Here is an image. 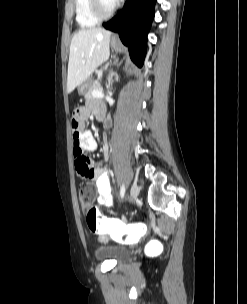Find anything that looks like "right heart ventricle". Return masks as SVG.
<instances>
[{
    "label": "right heart ventricle",
    "mask_w": 247,
    "mask_h": 304,
    "mask_svg": "<svg viewBox=\"0 0 247 304\" xmlns=\"http://www.w3.org/2000/svg\"><path fill=\"white\" fill-rule=\"evenodd\" d=\"M75 18L81 28H91L99 22L91 13L89 0H75Z\"/></svg>",
    "instance_id": "e07e8e85"
}]
</instances>
